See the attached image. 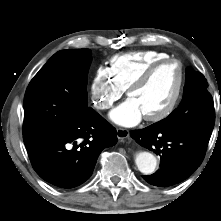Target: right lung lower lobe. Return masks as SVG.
Here are the masks:
<instances>
[{
	"label": "right lung lower lobe",
	"mask_w": 221,
	"mask_h": 221,
	"mask_svg": "<svg viewBox=\"0 0 221 221\" xmlns=\"http://www.w3.org/2000/svg\"><path fill=\"white\" fill-rule=\"evenodd\" d=\"M37 174L60 188H73L90 178L101 151L117 143L116 130L88 108L70 127L23 136Z\"/></svg>",
	"instance_id": "98d812e1"
}]
</instances>
